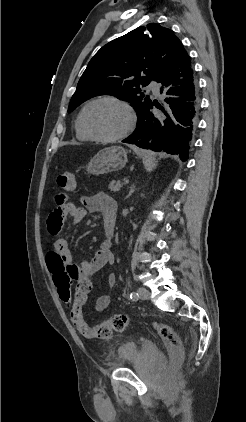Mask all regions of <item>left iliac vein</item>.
<instances>
[{
    "label": "left iliac vein",
    "instance_id": "1",
    "mask_svg": "<svg viewBox=\"0 0 246 422\" xmlns=\"http://www.w3.org/2000/svg\"><path fill=\"white\" fill-rule=\"evenodd\" d=\"M138 297L142 300H148L150 298V292L146 288H139L137 291Z\"/></svg>",
    "mask_w": 246,
    "mask_h": 422
}]
</instances>
